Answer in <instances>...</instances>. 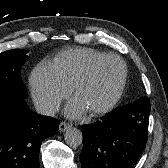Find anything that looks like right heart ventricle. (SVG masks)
<instances>
[{
  "label": "right heart ventricle",
  "mask_w": 168,
  "mask_h": 168,
  "mask_svg": "<svg viewBox=\"0 0 168 168\" xmlns=\"http://www.w3.org/2000/svg\"><path fill=\"white\" fill-rule=\"evenodd\" d=\"M103 55L105 53L89 48L68 49L60 52L51 65L63 83L71 89L89 65Z\"/></svg>",
  "instance_id": "1"
}]
</instances>
